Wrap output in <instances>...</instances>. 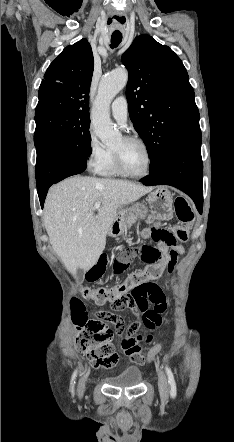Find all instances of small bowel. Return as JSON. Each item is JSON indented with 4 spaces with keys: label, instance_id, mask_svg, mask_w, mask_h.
I'll list each match as a JSON object with an SVG mask.
<instances>
[{
    "label": "small bowel",
    "instance_id": "c3829d8e",
    "mask_svg": "<svg viewBox=\"0 0 234 442\" xmlns=\"http://www.w3.org/2000/svg\"><path fill=\"white\" fill-rule=\"evenodd\" d=\"M148 221L153 222V217H149ZM154 227L159 229V224H155ZM142 236L144 238H151L149 229L144 230ZM184 252V247L181 244L176 243L172 247L171 252L164 253L160 256L158 262L171 272L174 269L178 258L182 256ZM151 285L157 287L162 293L167 289H162L152 283ZM132 288L133 286L128 287V289ZM100 316L107 322H113V325L116 327L115 331L121 333L120 341L123 343V349L126 355L134 358L140 364L143 363V358L140 355L141 347L137 344V341L142 340V336H140L142 331H138V328H147V331H150V328H161L166 320L164 314H142L138 319H134L129 325H125L124 320H122L119 315L103 312ZM100 316H97L96 319H90L88 321V326L90 328H97L99 331H106L108 329V324L103 322ZM137 331L138 334H133ZM145 337H147L146 341H150L151 338L149 337V334H145Z\"/></svg>",
    "mask_w": 234,
    "mask_h": 442
}]
</instances>
